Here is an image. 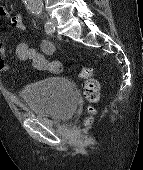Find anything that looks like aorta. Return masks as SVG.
<instances>
[{
  "label": "aorta",
  "mask_w": 143,
  "mask_h": 170,
  "mask_svg": "<svg viewBox=\"0 0 143 170\" xmlns=\"http://www.w3.org/2000/svg\"><path fill=\"white\" fill-rule=\"evenodd\" d=\"M26 7L35 14L42 12V0H24Z\"/></svg>",
  "instance_id": "obj_1"
}]
</instances>
